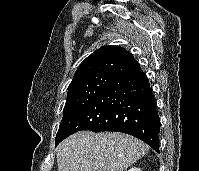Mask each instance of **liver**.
<instances>
[{
	"mask_svg": "<svg viewBox=\"0 0 199 171\" xmlns=\"http://www.w3.org/2000/svg\"><path fill=\"white\" fill-rule=\"evenodd\" d=\"M148 149L144 142L128 134L81 131L58 145V171H124Z\"/></svg>",
	"mask_w": 199,
	"mask_h": 171,
	"instance_id": "1",
	"label": "liver"
}]
</instances>
